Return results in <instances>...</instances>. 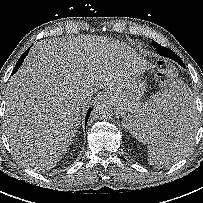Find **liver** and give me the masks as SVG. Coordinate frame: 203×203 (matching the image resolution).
<instances>
[{"label": "liver", "mask_w": 203, "mask_h": 203, "mask_svg": "<svg viewBox=\"0 0 203 203\" xmlns=\"http://www.w3.org/2000/svg\"><path fill=\"white\" fill-rule=\"evenodd\" d=\"M144 69L135 51L103 37L37 42L6 89L4 125L14 155L34 171L52 169L71 145L81 107L93 93L104 89L111 100ZM187 133V123L167 113L155 137L163 143Z\"/></svg>", "instance_id": "1"}]
</instances>
